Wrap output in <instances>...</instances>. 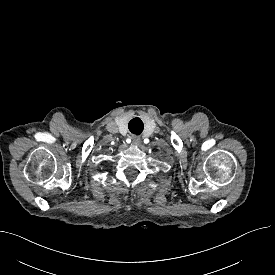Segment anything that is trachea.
Listing matches in <instances>:
<instances>
[{
  "instance_id": "obj_1",
  "label": "trachea",
  "mask_w": 275,
  "mask_h": 275,
  "mask_svg": "<svg viewBox=\"0 0 275 275\" xmlns=\"http://www.w3.org/2000/svg\"><path fill=\"white\" fill-rule=\"evenodd\" d=\"M135 121H139V123H136ZM129 129L132 133L139 135L141 131L143 130V124L139 119H133L129 123Z\"/></svg>"
}]
</instances>
